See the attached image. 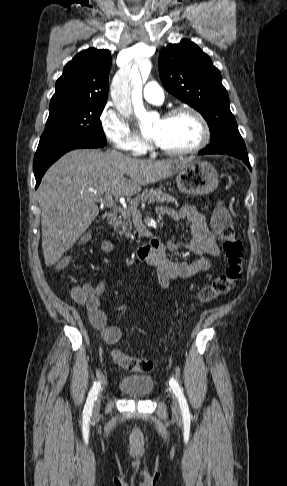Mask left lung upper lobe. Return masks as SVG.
I'll return each instance as SVG.
<instances>
[{
  "label": "left lung upper lobe",
  "instance_id": "obj_1",
  "mask_svg": "<svg viewBox=\"0 0 287 486\" xmlns=\"http://www.w3.org/2000/svg\"><path fill=\"white\" fill-rule=\"evenodd\" d=\"M159 73L165 89L199 111L207 121L211 141L200 152L248 156L220 71L207 54L188 39L169 44L160 51Z\"/></svg>",
  "mask_w": 287,
  "mask_h": 486
}]
</instances>
